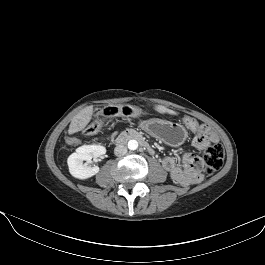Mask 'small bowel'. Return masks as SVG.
<instances>
[{
	"label": "small bowel",
	"mask_w": 265,
	"mask_h": 265,
	"mask_svg": "<svg viewBox=\"0 0 265 265\" xmlns=\"http://www.w3.org/2000/svg\"><path fill=\"white\" fill-rule=\"evenodd\" d=\"M196 132L192 144L195 148L201 150L208 145L218 142V136L208 126L199 124L198 129H191ZM116 133H112V137ZM163 168L170 173L171 178L179 185L189 186L200 183L204 179L201 161L194 153H185L177 163L173 157H166L162 162Z\"/></svg>",
	"instance_id": "obj_1"
}]
</instances>
